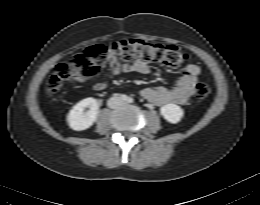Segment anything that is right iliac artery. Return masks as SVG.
Segmentation results:
<instances>
[{"instance_id": "82829eb1", "label": "right iliac artery", "mask_w": 260, "mask_h": 205, "mask_svg": "<svg viewBox=\"0 0 260 205\" xmlns=\"http://www.w3.org/2000/svg\"><path fill=\"white\" fill-rule=\"evenodd\" d=\"M120 99H121L122 101H127V100H128V97H127L125 94H123V95L120 96Z\"/></svg>"}]
</instances>
